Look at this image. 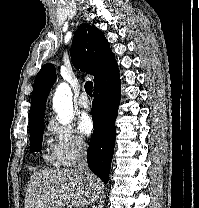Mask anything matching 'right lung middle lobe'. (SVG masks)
Returning a JSON list of instances; mask_svg holds the SVG:
<instances>
[{"label":"right lung middle lobe","instance_id":"obj_1","mask_svg":"<svg viewBox=\"0 0 199 208\" xmlns=\"http://www.w3.org/2000/svg\"><path fill=\"white\" fill-rule=\"evenodd\" d=\"M44 133V124L30 130V151H40L42 147V139Z\"/></svg>","mask_w":199,"mask_h":208}]
</instances>
